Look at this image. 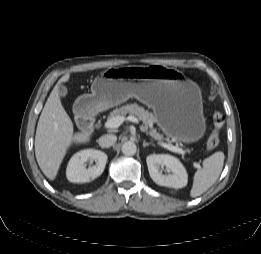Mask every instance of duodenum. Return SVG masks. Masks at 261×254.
Listing matches in <instances>:
<instances>
[{
    "mask_svg": "<svg viewBox=\"0 0 261 254\" xmlns=\"http://www.w3.org/2000/svg\"><path fill=\"white\" fill-rule=\"evenodd\" d=\"M96 121V116L92 112L83 111L79 115V125L83 129H89Z\"/></svg>",
    "mask_w": 261,
    "mask_h": 254,
    "instance_id": "obj_1",
    "label": "duodenum"
}]
</instances>
